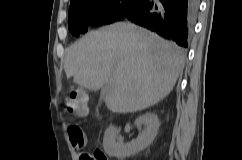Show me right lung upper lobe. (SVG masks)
Wrapping results in <instances>:
<instances>
[{
    "label": "right lung upper lobe",
    "mask_w": 242,
    "mask_h": 160,
    "mask_svg": "<svg viewBox=\"0 0 242 160\" xmlns=\"http://www.w3.org/2000/svg\"><path fill=\"white\" fill-rule=\"evenodd\" d=\"M81 1H83V0H71L70 5H74V4L81 2Z\"/></svg>",
    "instance_id": "right-lung-upper-lobe-1"
}]
</instances>
